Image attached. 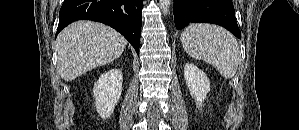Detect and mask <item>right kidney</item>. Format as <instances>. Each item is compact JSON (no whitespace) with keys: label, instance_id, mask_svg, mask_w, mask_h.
<instances>
[{"label":"right kidney","instance_id":"ca27d5eb","mask_svg":"<svg viewBox=\"0 0 299 130\" xmlns=\"http://www.w3.org/2000/svg\"><path fill=\"white\" fill-rule=\"evenodd\" d=\"M123 75L120 69L102 74L94 84L93 93L98 114L106 119L111 116L122 93Z\"/></svg>","mask_w":299,"mask_h":130}]
</instances>
